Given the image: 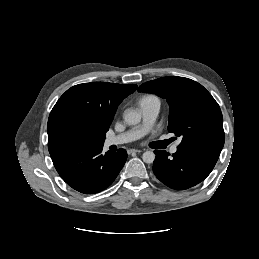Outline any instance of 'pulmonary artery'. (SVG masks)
<instances>
[{"mask_svg":"<svg viewBox=\"0 0 259 259\" xmlns=\"http://www.w3.org/2000/svg\"><path fill=\"white\" fill-rule=\"evenodd\" d=\"M139 109L142 114L143 121L139 126L116 136L108 137L105 140V146L119 145L132 142L147 134L154 125V122L160 111V101L154 96L143 98L139 102ZM179 142L171 146V153H176Z\"/></svg>","mask_w":259,"mask_h":259,"instance_id":"obj_1","label":"pulmonary artery"}]
</instances>
